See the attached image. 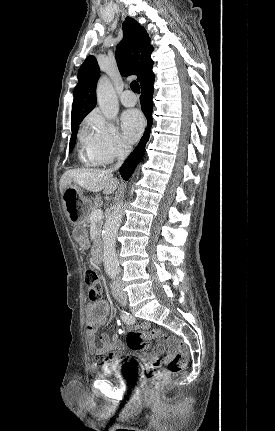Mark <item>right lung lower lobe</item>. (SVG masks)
<instances>
[{"label": "right lung lower lobe", "instance_id": "1", "mask_svg": "<svg viewBox=\"0 0 275 431\" xmlns=\"http://www.w3.org/2000/svg\"><path fill=\"white\" fill-rule=\"evenodd\" d=\"M154 78L151 81H149L147 84H145L143 87H141L142 91H141L140 102H141L142 111L147 118V129L139 145L133 151V154L129 155V157L126 159V161L120 168V174L125 180L129 179L135 167L140 162V159L142 158L144 153L145 145L149 140L150 129L152 126L151 115L153 110L152 95L154 91V88H153Z\"/></svg>", "mask_w": 275, "mask_h": 431}]
</instances>
